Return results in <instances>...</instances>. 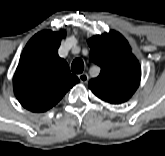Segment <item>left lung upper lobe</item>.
Masks as SVG:
<instances>
[{
	"mask_svg": "<svg viewBox=\"0 0 165 156\" xmlns=\"http://www.w3.org/2000/svg\"><path fill=\"white\" fill-rule=\"evenodd\" d=\"M88 44L92 61L101 68L99 76L89 81V89L111 104L127 101L139 86L141 67L126 39L110 31L93 36Z\"/></svg>",
	"mask_w": 165,
	"mask_h": 156,
	"instance_id": "1",
	"label": "left lung upper lobe"
}]
</instances>
